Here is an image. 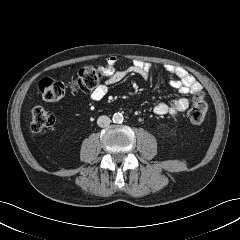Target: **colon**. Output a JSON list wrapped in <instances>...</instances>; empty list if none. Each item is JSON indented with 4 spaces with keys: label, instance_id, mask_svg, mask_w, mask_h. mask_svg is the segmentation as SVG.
<instances>
[{
    "label": "colon",
    "instance_id": "1",
    "mask_svg": "<svg viewBox=\"0 0 240 240\" xmlns=\"http://www.w3.org/2000/svg\"><path fill=\"white\" fill-rule=\"evenodd\" d=\"M102 78V73L94 66L86 65L79 69L77 76L71 80L70 88L74 92H89L94 90ZM39 91L43 100L56 102L64 97L67 85L61 81L44 78L39 84ZM207 112L205 94L198 92L194 95L191 108L188 112L189 120L194 125L204 122ZM54 125V117L42 107H35L31 112L30 128L33 132H41Z\"/></svg>",
    "mask_w": 240,
    "mask_h": 240
}]
</instances>
